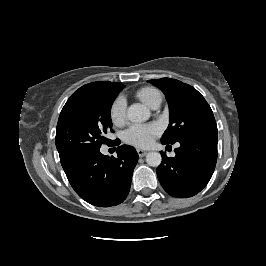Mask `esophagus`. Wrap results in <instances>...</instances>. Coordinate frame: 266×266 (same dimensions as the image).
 Wrapping results in <instances>:
<instances>
[{
	"label": "esophagus",
	"instance_id": "esophagus-1",
	"mask_svg": "<svg viewBox=\"0 0 266 266\" xmlns=\"http://www.w3.org/2000/svg\"><path fill=\"white\" fill-rule=\"evenodd\" d=\"M137 153L139 157H144L147 154V151L142 150V149H137Z\"/></svg>",
	"mask_w": 266,
	"mask_h": 266
}]
</instances>
